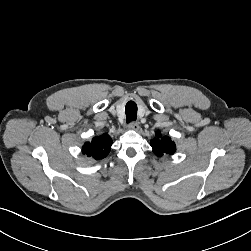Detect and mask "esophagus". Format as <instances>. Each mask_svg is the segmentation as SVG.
<instances>
[{
	"instance_id": "esophagus-1",
	"label": "esophagus",
	"mask_w": 251,
	"mask_h": 251,
	"mask_svg": "<svg viewBox=\"0 0 251 251\" xmlns=\"http://www.w3.org/2000/svg\"><path fill=\"white\" fill-rule=\"evenodd\" d=\"M130 129L132 130H135V131H138L140 126H139V123L138 122H135V121H132L129 126H128Z\"/></svg>"
}]
</instances>
